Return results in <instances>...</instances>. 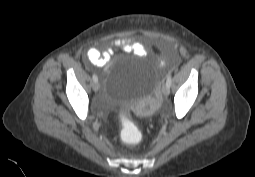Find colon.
Listing matches in <instances>:
<instances>
[{"mask_svg":"<svg viewBox=\"0 0 255 177\" xmlns=\"http://www.w3.org/2000/svg\"><path fill=\"white\" fill-rule=\"evenodd\" d=\"M160 59L163 62H168L171 59L170 51H161ZM121 140L128 145H135L141 138V133L135 123L128 117L121 118Z\"/></svg>","mask_w":255,"mask_h":177,"instance_id":"obj_1","label":"colon"}]
</instances>
